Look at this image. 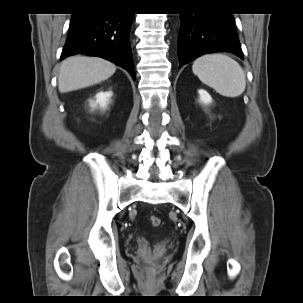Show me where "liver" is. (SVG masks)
Masks as SVG:
<instances>
[{
  "label": "liver",
  "instance_id": "6515ba94",
  "mask_svg": "<svg viewBox=\"0 0 303 303\" xmlns=\"http://www.w3.org/2000/svg\"><path fill=\"white\" fill-rule=\"evenodd\" d=\"M116 66L97 57L73 56L60 66L58 89L61 93L78 90L100 83L111 77Z\"/></svg>",
  "mask_w": 303,
  "mask_h": 303
}]
</instances>
